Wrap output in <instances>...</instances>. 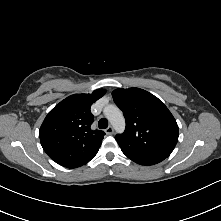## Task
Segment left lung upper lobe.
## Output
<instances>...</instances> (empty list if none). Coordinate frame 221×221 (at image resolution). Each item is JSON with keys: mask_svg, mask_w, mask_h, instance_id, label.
<instances>
[{"mask_svg": "<svg viewBox=\"0 0 221 221\" xmlns=\"http://www.w3.org/2000/svg\"><path fill=\"white\" fill-rule=\"evenodd\" d=\"M112 96L126 119L124 133L115 137L120 148L167 158L177 144L179 130L164 103L139 88H119Z\"/></svg>", "mask_w": 221, "mask_h": 221, "instance_id": "1", "label": "left lung upper lobe"}]
</instances>
